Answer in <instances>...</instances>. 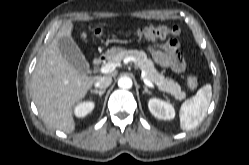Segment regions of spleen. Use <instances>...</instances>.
Here are the masks:
<instances>
[{
  "instance_id": "3e777b00",
  "label": "spleen",
  "mask_w": 249,
  "mask_h": 165,
  "mask_svg": "<svg viewBox=\"0 0 249 165\" xmlns=\"http://www.w3.org/2000/svg\"><path fill=\"white\" fill-rule=\"evenodd\" d=\"M212 97V86L204 85L196 95L186 100L180 109V127L182 130H191L203 120Z\"/></svg>"
}]
</instances>
